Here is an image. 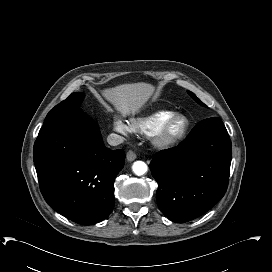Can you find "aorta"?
<instances>
[{"label": "aorta", "mask_w": 272, "mask_h": 272, "mask_svg": "<svg viewBox=\"0 0 272 272\" xmlns=\"http://www.w3.org/2000/svg\"><path fill=\"white\" fill-rule=\"evenodd\" d=\"M132 169L136 175L141 176L147 172L148 167L143 161H136L133 163Z\"/></svg>", "instance_id": "1"}]
</instances>
